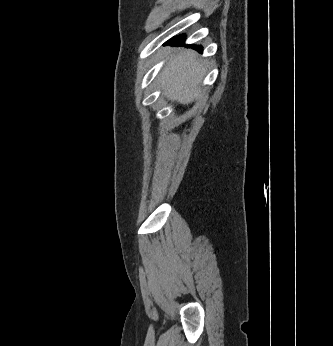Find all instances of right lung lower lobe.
Returning a JSON list of instances; mask_svg holds the SVG:
<instances>
[{"label": "right lung lower lobe", "mask_w": 333, "mask_h": 346, "mask_svg": "<svg viewBox=\"0 0 333 346\" xmlns=\"http://www.w3.org/2000/svg\"><path fill=\"white\" fill-rule=\"evenodd\" d=\"M185 41V36L184 35H180L177 37L172 38L169 43L170 44H182ZM194 48H196L198 51L202 52V46H193Z\"/></svg>", "instance_id": "98d812e1"}]
</instances>
